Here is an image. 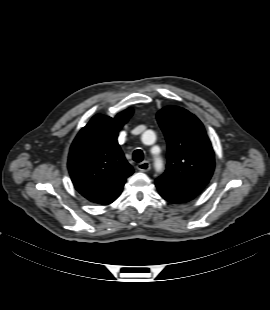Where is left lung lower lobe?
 <instances>
[{"label": "left lung lower lobe", "mask_w": 270, "mask_h": 310, "mask_svg": "<svg viewBox=\"0 0 270 310\" xmlns=\"http://www.w3.org/2000/svg\"><path fill=\"white\" fill-rule=\"evenodd\" d=\"M156 187L160 195L172 203H185L194 199L201 191L196 189L180 188L156 180Z\"/></svg>", "instance_id": "0a47b994"}]
</instances>
